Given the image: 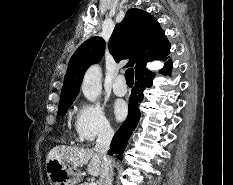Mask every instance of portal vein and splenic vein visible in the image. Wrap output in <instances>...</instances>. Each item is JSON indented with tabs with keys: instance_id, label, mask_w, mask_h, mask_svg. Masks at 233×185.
<instances>
[{
	"instance_id": "obj_1",
	"label": "portal vein and splenic vein",
	"mask_w": 233,
	"mask_h": 185,
	"mask_svg": "<svg viewBox=\"0 0 233 185\" xmlns=\"http://www.w3.org/2000/svg\"><path fill=\"white\" fill-rule=\"evenodd\" d=\"M88 185H97L95 182H91Z\"/></svg>"
}]
</instances>
